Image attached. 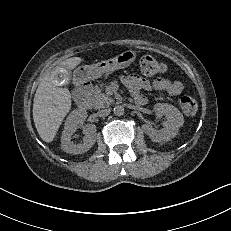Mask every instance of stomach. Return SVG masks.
Masks as SVG:
<instances>
[{
  "label": "stomach",
  "mask_w": 231,
  "mask_h": 231,
  "mask_svg": "<svg viewBox=\"0 0 231 231\" xmlns=\"http://www.w3.org/2000/svg\"><path fill=\"white\" fill-rule=\"evenodd\" d=\"M137 54L133 50H127L114 58L100 61L92 65H82L75 70V76L79 81L94 80L101 77L105 73L115 70L124 69L136 60Z\"/></svg>",
  "instance_id": "stomach-1"
}]
</instances>
